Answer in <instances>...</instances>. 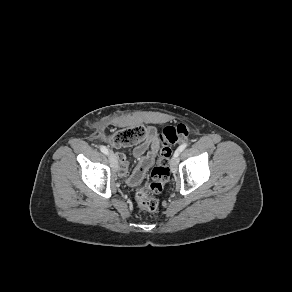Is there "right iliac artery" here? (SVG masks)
Here are the masks:
<instances>
[{
    "mask_svg": "<svg viewBox=\"0 0 292 292\" xmlns=\"http://www.w3.org/2000/svg\"><path fill=\"white\" fill-rule=\"evenodd\" d=\"M100 150H101L102 153H104L106 155L109 154V151H108V149L105 146H100Z\"/></svg>",
    "mask_w": 292,
    "mask_h": 292,
    "instance_id": "right-iliac-artery-1",
    "label": "right iliac artery"
}]
</instances>
